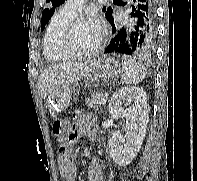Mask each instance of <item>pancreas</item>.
Returning <instances> with one entry per match:
<instances>
[{"mask_svg": "<svg viewBox=\"0 0 197 181\" xmlns=\"http://www.w3.org/2000/svg\"><path fill=\"white\" fill-rule=\"evenodd\" d=\"M103 98L102 93L92 94L86 99V104L91 108H96L99 105L100 100Z\"/></svg>", "mask_w": 197, "mask_h": 181, "instance_id": "pancreas-1", "label": "pancreas"}]
</instances>
